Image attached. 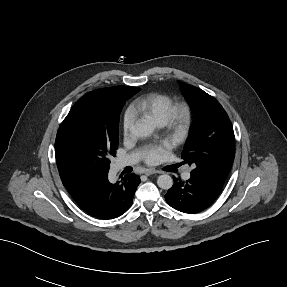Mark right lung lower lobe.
I'll return each instance as SVG.
<instances>
[{
  "label": "right lung lower lobe",
  "instance_id": "right-lung-lower-lobe-1",
  "mask_svg": "<svg viewBox=\"0 0 287 287\" xmlns=\"http://www.w3.org/2000/svg\"><path fill=\"white\" fill-rule=\"evenodd\" d=\"M63 185L74 201L88 214L99 219H114L132 205L141 180L127 174L122 180L110 183L108 174L102 176L64 177Z\"/></svg>",
  "mask_w": 287,
  "mask_h": 287
}]
</instances>
